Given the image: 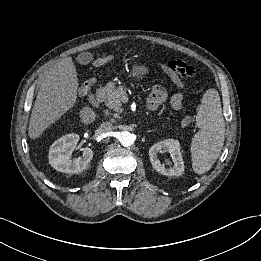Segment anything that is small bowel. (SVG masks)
Masks as SVG:
<instances>
[{"instance_id": "obj_1", "label": "small bowel", "mask_w": 261, "mask_h": 261, "mask_svg": "<svg viewBox=\"0 0 261 261\" xmlns=\"http://www.w3.org/2000/svg\"><path fill=\"white\" fill-rule=\"evenodd\" d=\"M102 63L101 59L92 61L90 63L91 67L98 66ZM172 80L180 87L182 88L184 86V83L182 81L176 80L172 78ZM167 99V92L166 90L160 86V85H155L151 89L150 96L148 97L147 100V108L151 111L156 110L165 100ZM183 100L184 96L182 92H176L173 94L170 98V103L171 106L176 109L180 110L183 107ZM190 122V119L188 117L184 118L183 123L185 125H188Z\"/></svg>"}]
</instances>
